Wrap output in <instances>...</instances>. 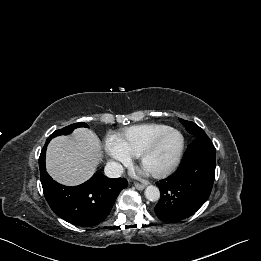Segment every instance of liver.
<instances>
[{
    "mask_svg": "<svg viewBox=\"0 0 261 261\" xmlns=\"http://www.w3.org/2000/svg\"><path fill=\"white\" fill-rule=\"evenodd\" d=\"M101 157V143L97 135L89 129L78 128L72 136L51 140L46 153V168L57 182L75 186L94 174Z\"/></svg>",
    "mask_w": 261,
    "mask_h": 261,
    "instance_id": "6515ba94",
    "label": "liver"
}]
</instances>
